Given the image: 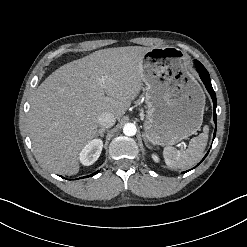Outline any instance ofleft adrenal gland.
<instances>
[{
	"mask_svg": "<svg viewBox=\"0 0 247 247\" xmlns=\"http://www.w3.org/2000/svg\"><path fill=\"white\" fill-rule=\"evenodd\" d=\"M144 141H145V144L147 145V147H149V146H148V143H147V141H146V139H145V138H144Z\"/></svg>",
	"mask_w": 247,
	"mask_h": 247,
	"instance_id": "a2214340",
	"label": "left adrenal gland"
}]
</instances>
